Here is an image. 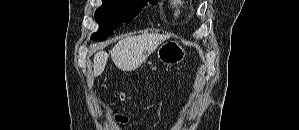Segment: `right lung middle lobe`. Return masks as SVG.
Segmentation results:
<instances>
[{"instance_id":"obj_1","label":"right lung middle lobe","mask_w":299,"mask_h":130,"mask_svg":"<svg viewBox=\"0 0 299 130\" xmlns=\"http://www.w3.org/2000/svg\"><path fill=\"white\" fill-rule=\"evenodd\" d=\"M145 5L146 2L140 1L103 0V5L95 12V20L100 25V29L98 33L92 35V38L106 39L114 33L115 28L132 21Z\"/></svg>"}]
</instances>
